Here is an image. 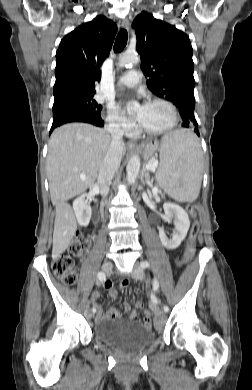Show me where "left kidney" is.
I'll use <instances>...</instances> for the list:
<instances>
[{
	"label": "left kidney",
	"instance_id": "left-kidney-1",
	"mask_svg": "<svg viewBox=\"0 0 252 390\" xmlns=\"http://www.w3.org/2000/svg\"><path fill=\"white\" fill-rule=\"evenodd\" d=\"M163 208L167 219L174 218L175 228L171 238L166 236L163 228H158L159 237L165 248L174 250L179 247L186 237L190 227V220L186 211L177 204L166 202L164 203Z\"/></svg>",
	"mask_w": 252,
	"mask_h": 390
}]
</instances>
